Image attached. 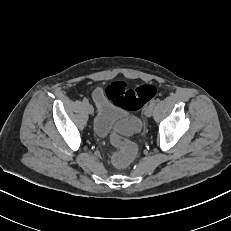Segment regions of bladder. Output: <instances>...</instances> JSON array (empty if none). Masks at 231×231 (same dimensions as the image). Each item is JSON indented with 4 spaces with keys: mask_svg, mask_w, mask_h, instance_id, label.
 I'll list each match as a JSON object with an SVG mask.
<instances>
[{
    "mask_svg": "<svg viewBox=\"0 0 231 231\" xmlns=\"http://www.w3.org/2000/svg\"><path fill=\"white\" fill-rule=\"evenodd\" d=\"M93 98L96 104L93 134L99 139H104L110 136L114 125L123 120L127 113L123 108L109 101L103 94L102 88H97L94 91Z\"/></svg>",
    "mask_w": 231,
    "mask_h": 231,
    "instance_id": "31cf9c89",
    "label": "bladder"
}]
</instances>
